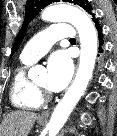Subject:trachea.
Listing matches in <instances>:
<instances>
[{
  "mask_svg": "<svg viewBox=\"0 0 117 136\" xmlns=\"http://www.w3.org/2000/svg\"><path fill=\"white\" fill-rule=\"evenodd\" d=\"M70 41H75V38H71Z\"/></svg>",
  "mask_w": 117,
  "mask_h": 136,
  "instance_id": "1",
  "label": "trachea"
}]
</instances>
